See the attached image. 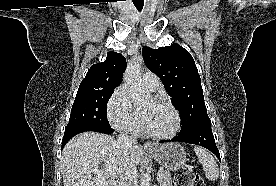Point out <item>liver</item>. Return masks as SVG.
Wrapping results in <instances>:
<instances>
[{
	"instance_id": "liver-1",
	"label": "liver",
	"mask_w": 276,
	"mask_h": 186,
	"mask_svg": "<svg viewBox=\"0 0 276 186\" xmlns=\"http://www.w3.org/2000/svg\"><path fill=\"white\" fill-rule=\"evenodd\" d=\"M142 157L143 150L138 145L124 149L111 136L80 133L62 151L64 186H118L125 166L136 167ZM100 163L104 165L102 169Z\"/></svg>"
}]
</instances>
